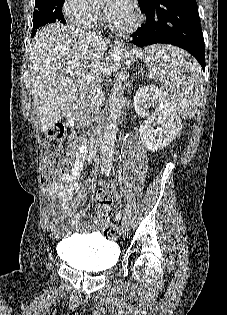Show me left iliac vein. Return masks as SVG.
I'll list each match as a JSON object with an SVG mask.
<instances>
[{
  "label": "left iliac vein",
  "instance_id": "4c4485c4",
  "mask_svg": "<svg viewBox=\"0 0 227 315\" xmlns=\"http://www.w3.org/2000/svg\"><path fill=\"white\" fill-rule=\"evenodd\" d=\"M130 225H131V222H130L129 219L124 220V222L122 224V231H123V233H126L127 231H129Z\"/></svg>",
  "mask_w": 227,
  "mask_h": 315
}]
</instances>
